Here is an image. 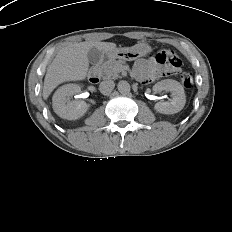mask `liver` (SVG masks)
Segmentation results:
<instances>
[{
	"label": "liver",
	"instance_id": "liver-1",
	"mask_svg": "<svg viewBox=\"0 0 232 232\" xmlns=\"http://www.w3.org/2000/svg\"><path fill=\"white\" fill-rule=\"evenodd\" d=\"M97 48L102 54L114 51L116 44L112 42H80L61 48L47 68L44 78L43 99H47L52 91L61 83L84 80L89 70L88 51Z\"/></svg>",
	"mask_w": 232,
	"mask_h": 232
}]
</instances>
